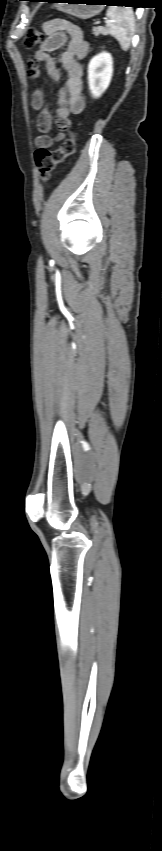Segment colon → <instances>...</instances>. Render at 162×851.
Listing matches in <instances>:
<instances>
[{"instance_id":"colon-1","label":"colon","mask_w":162,"mask_h":851,"mask_svg":"<svg viewBox=\"0 0 162 851\" xmlns=\"http://www.w3.org/2000/svg\"><path fill=\"white\" fill-rule=\"evenodd\" d=\"M43 41L44 34L42 31L36 28H31L25 35L24 45L27 48H32L41 44ZM75 148L76 141L74 132H70L69 136L57 149L51 150L45 147H39L35 151L34 158L41 180L43 182L47 181L54 168L63 163L67 157L71 156L75 152Z\"/></svg>"}]
</instances>
